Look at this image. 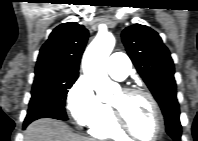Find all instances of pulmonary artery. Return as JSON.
Listing matches in <instances>:
<instances>
[{"label": "pulmonary artery", "mask_w": 198, "mask_h": 141, "mask_svg": "<svg viewBox=\"0 0 198 141\" xmlns=\"http://www.w3.org/2000/svg\"><path fill=\"white\" fill-rule=\"evenodd\" d=\"M131 69V63L128 56L121 52L110 55L107 61V71L117 80L125 79Z\"/></svg>", "instance_id": "e3ab8cb5"}]
</instances>
